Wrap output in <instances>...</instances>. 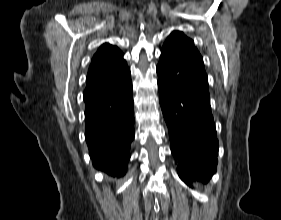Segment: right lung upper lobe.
I'll return each mask as SVG.
<instances>
[{"label": "right lung upper lobe", "instance_id": "obj_1", "mask_svg": "<svg viewBox=\"0 0 281 220\" xmlns=\"http://www.w3.org/2000/svg\"><path fill=\"white\" fill-rule=\"evenodd\" d=\"M129 78L130 69L123 59V53L119 48L105 43L93 56L84 93L113 89Z\"/></svg>", "mask_w": 281, "mask_h": 220}]
</instances>
